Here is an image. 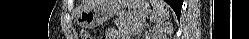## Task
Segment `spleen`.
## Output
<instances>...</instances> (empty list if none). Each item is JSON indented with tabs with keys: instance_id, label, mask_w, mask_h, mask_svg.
<instances>
[{
	"instance_id": "spleen-1",
	"label": "spleen",
	"mask_w": 249,
	"mask_h": 39,
	"mask_svg": "<svg viewBox=\"0 0 249 39\" xmlns=\"http://www.w3.org/2000/svg\"><path fill=\"white\" fill-rule=\"evenodd\" d=\"M153 7V14L150 20L160 24L169 17V6L162 0H150Z\"/></svg>"
}]
</instances>
